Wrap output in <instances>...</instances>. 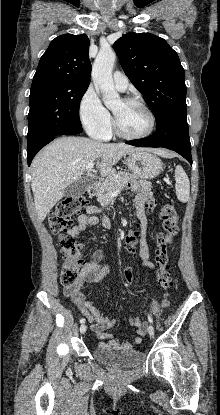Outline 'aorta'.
<instances>
[{
    "label": "aorta",
    "mask_w": 220,
    "mask_h": 415,
    "mask_svg": "<svg viewBox=\"0 0 220 415\" xmlns=\"http://www.w3.org/2000/svg\"><path fill=\"white\" fill-rule=\"evenodd\" d=\"M115 61L116 54L112 49H101L92 68L94 86L101 93L102 100L107 107H111L120 101L119 94L115 91L112 79V70Z\"/></svg>",
    "instance_id": "762f6f07"
}]
</instances>
